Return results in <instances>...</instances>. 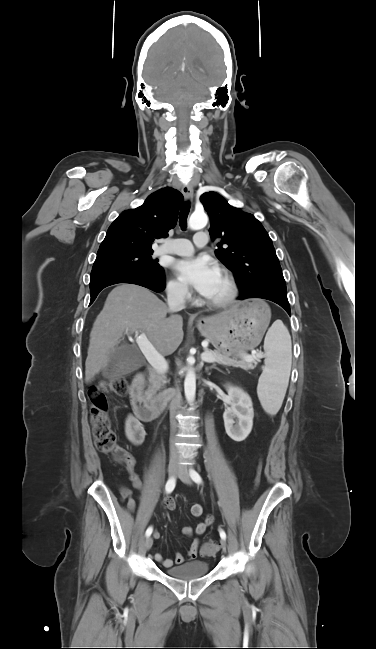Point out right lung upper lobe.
I'll use <instances>...</instances> for the list:
<instances>
[{
	"mask_svg": "<svg viewBox=\"0 0 376 649\" xmlns=\"http://www.w3.org/2000/svg\"><path fill=\"white\" fill-rule=\"evenodd\" d=\"M183 195L165 187L147 197L142 206L122 212L110 225L98 254L118 251H153L154 239L168 236L178 218Z\"/></svg>",
	"mask_w": 376,
	"mask_h": 649,
	"instance_id": "cb5924a9",
	"label": "right lung upper lobe"
}]
</instances>
